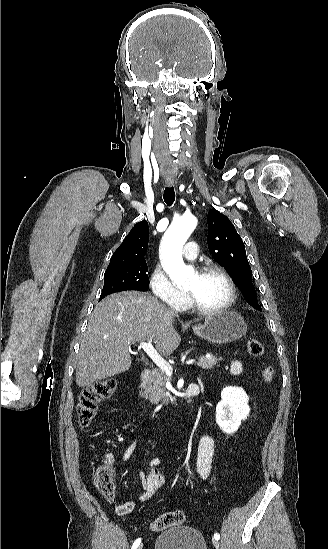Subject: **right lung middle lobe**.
<instances>
[{"label":"right lung middle lobe","mask_w":328,"mask_h":549,"mask_svg":"<svg viewBox=\"0 0 328 549\" xmlns=\"http://www.w3.org/2000/svg\"><path fill=\"white\" fill-rule=\"evenodd\" d=\"M147 271L146 261H139L120 268L106 270L100 299L111 293L120 291L147 290L149 288Z\"/></svg>","instance_id":"right-lung-middle-lobe-1"}]
</instances>
